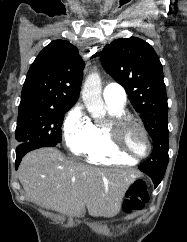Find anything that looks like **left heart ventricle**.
<instances>
[{
  "instance_id": "b2bd125f",
  "label": "left heart ventricle",
  "mask_w": 187,
  "mask_h": 242,
  "mask_svg": "<svg viewBox=\"0 0 187 242\" xmlns=\"http://www.w3.org/2000/svg\"><path fill=\"white\" fill-rule=\"evenodd\" d=\"M124 146L129 153L135 156H141L147 151V143L142 133L130 127L124 134Z\"/></svg>"
}]
</instances>
